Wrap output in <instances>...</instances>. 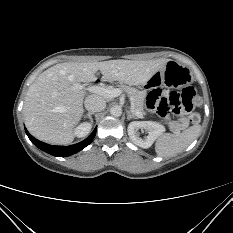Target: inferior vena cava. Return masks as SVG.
I'll return each instance as SVG.
<instances>
[{
	"mask_svg": "<svg viewBox=\"0 0 233 233\" xmlns=\"http://www.w3.org/2000/svg\"><path fill=\"white\" fill-rule=\"evenodd\" d=\"M84 104L85 108L89 112H100L103 111L106 107V101L104 100V98L98 95H89L85 99Z\"/></svg>",
	"mask_w": 233,
	"mask_h": 233,
	"instance_id": "602c4592",
	"label": "inferior vena cava"
}]
</instances>
